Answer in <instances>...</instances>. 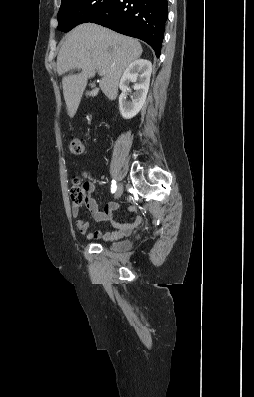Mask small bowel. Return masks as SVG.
<instances>
[{"label":"small bowel","instance_id":"1","mask_svg":"<svg viewBox=\"0 0 254 397\" xmlns=\"http://www.w3.org/2000/svg\"><path fill=\"white\" fill-rule=\"evenodd\" d=\"M88 195L94 191V185L89 183L88 188ZM88 210L91 213L92 218L96 222H109L115 230L103 232L102 230H95L89 232V223L77 219L75 222L77 230L80 234L85 235L89 240H104V241H115L122 237H125L131 233V231L140 225L141 218L138 216H134L128 222H118L113 218V212L118 209V206L115 204H107L104 210H100L99 206L95 199L89 197L88 202L86 204ZM138 208L136 206H130L129 212L136 213ZM72 215L73 217L77 218L79 215V208L76 204L72 206Z\"/></svg>","mask_w":254,"mask_h":397}]
</instances>
